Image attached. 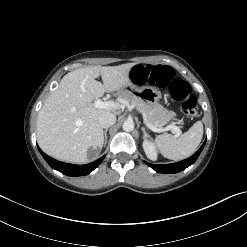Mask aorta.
Instances as JSON below:
<instances>
[{"label": "aorta", "mask_w": 247, "mask_h": 247, "mask_svg": "<svg viewBox=\"0 0 247 247\" xmlns=\"http://www.w3.org/2000/svg\"><path fill=\"white\" fill-rule=\"evenodd\" d=\"M122 128L126 132H131L134 129V123L133 121L127 120L123 123Z\"/></svg>", "instance_id": "aorta-1"}]
</instances>
